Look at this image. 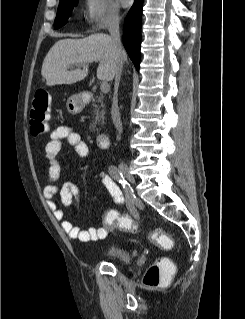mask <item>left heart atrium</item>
I'll use <instances>...</instances> for the list:
<instances>
[{
  "label": "left heart atrium",
  "mask_w": 245,
  "mask_h": 319,
  "mask_svg": "<svg viewBox=\"0 0 245 319\" xmlns=\"http://www.w3.org/2000/svg\"><path fill=\"white\" fill-rule=\"evenodd\" d=\"M122 6H128L132 0H118Z\"/></svg>",
  "instance_id": "39dd6f15"
}]
</instances>
